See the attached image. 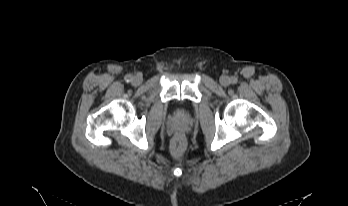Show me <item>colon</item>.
Masks as SVG:
<instances>
[{
	"label": "colon",
	"mask_w": 348,
	"mask_h": 206,
	"mask_svg": "<svg viewBox=\"0 0 348 206\" xmlns=\"http://www.w3.org/2000/svg\"><path fill=\"white\" fill-rule=\"evenodd\" d=\"M179 144H180V141H177L176 144L174 145L173 151H174L175 153H178V152L180 151V149H179V147H178Z\"/></svg>",
	"instance_id": "obj_1"
}]
</instances>
